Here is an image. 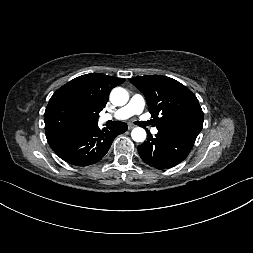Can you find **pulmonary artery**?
Masks as SVG:
<instances>
[{
  "mask_svg": "<svg viewBox=\"0 0 253 253\" xmlns=\"http://www.w3.org/2000/svg\"><path fill=\"white\" fill-rule=\"evenodd\" d=\"M145 107V100L139 94H134L130 101L123 107L119 108L112 114H105L102 116L101 121L105 122L110 119L125 120L133 115L140 114ZM158 130L156 128L152 129V133L156 134Z\"/></svg>",
  "mask_w": 253,
  "mask_h": 253,
  "instance_id": "e3ab8cb5",
  "label": "pulmonary artery"
}]
</instances>
